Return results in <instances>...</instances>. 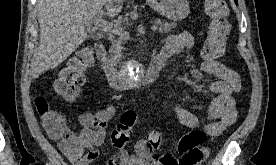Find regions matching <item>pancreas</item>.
Segmentation results:
<instances>
[{
  "instance_id": "cf45deb5",
  "label": "pancreas",
  "mask_w": 276,
  "mask_h": 165,
  "mask_svg": "<svg viewBox=\"0 0 276 165\" xmlns=\"http://www.w3.org/2000/svg\"><path fill=\"white\" fill-rule=\"evenodd\" d=\"M155 22L159 25V32L160 33H168L172 30V28L176 27L175 23H168V22H162L159 19H156ZM126 37H121L118 39V41L114 42L109 50L110 59L117 63L120 61L122 57V42Z\"/></svg>"
}]
</instances>
